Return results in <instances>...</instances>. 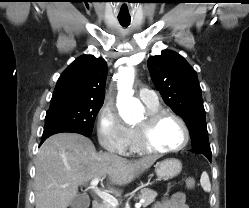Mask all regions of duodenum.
<instances>
[{"instance_id":"410a0bca","label":"duodenum","mask_w":249,"mask_h":208,"mask_svg":"<svg viewBox=\"0 0 249 208\" xmlns=\"http://www.w3.org/2000/svg\"><path fill=\"white\" fill-rule=\"evenodd\" d=\"M101 206V201L99 198H94L91 203L92 208H100Z\"/></svg>"}]
</instances>
